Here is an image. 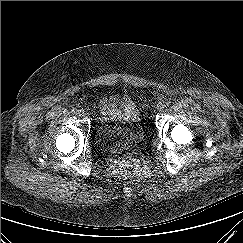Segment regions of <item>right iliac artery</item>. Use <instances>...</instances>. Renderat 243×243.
Here are the masks:
<instances>
[{
  "label": "right iliac artery",
  "mask_w": 243,
  "mask_h": 243,
  "mask_svg": "<svg viewBox=\"0 0 243 243\" xmlns=\"http://www.w3.org/2000/svg\"><path fill=\"white\" fill-rule=\"evenodd\" d=\"M72 112H73L74 114H78L79 110H78L77 108H73V109H72Z\"/></svg>",
  "instance_id": "1"
}]
</instances>
